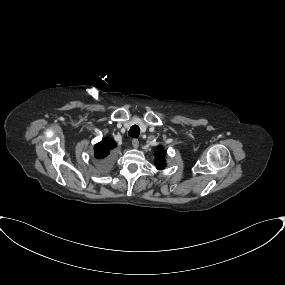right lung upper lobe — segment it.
I'll return each mask as SVG.
<instances>
[{
    "label": "right lung upper lobe",
    "instance_id": "1",
    "mask_svg": "<svg viewBox=\"0 0 285 285\" xmlns=\"http://www.w3.org/2000/svg\"><path fill=\"white\" fill-rule=\"evenodd\" d=\"M114 147H116L115 141L108 140L107 138L103 139L95 145V157L98 159L105 158Z\"/></svg>",
    "mask_w": 285,
    "mask_h": 285
}]
</instances>
